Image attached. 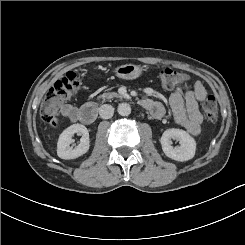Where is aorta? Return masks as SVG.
I'll use <instances>...</instances> for the list:
<instances>
[{"label":"aorta","mask_w":245,"mask_h":245,"mask_svg":"<svg viewBox=\"0 0 245 245\" xmlns=\"http://www.w3.org/2000/svg\"><path fill=\"white\" fill-rule=\"evenodd\" d=\"M117 110L121 116H128L131 113V107L128 103L119 104Z\"/></svg>","instance_id":"1"}]
</instances>
